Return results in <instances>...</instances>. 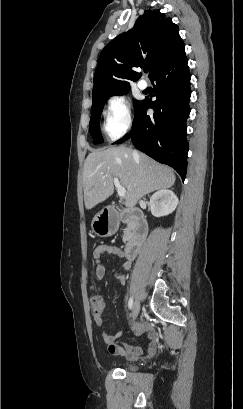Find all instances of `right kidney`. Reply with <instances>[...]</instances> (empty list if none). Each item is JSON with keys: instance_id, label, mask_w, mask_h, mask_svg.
<instances>
[{"instance_id": "ca27d5eb", "label": "right kidney", "mask_w": 243, "mask_h": 409, "mask_svg": "<svg viewBox=\"0 0 243 409\" xmlns=\"http://www.w3.org/2000/svg\"><path fill=\"white\" fill-rule=\"evenodd\" d=\"M178 202V198L173 191L161 189L152 195L149 205L152 214L155 217H161L172 213L176 209Z\"/></svg>"}]
</instances>
